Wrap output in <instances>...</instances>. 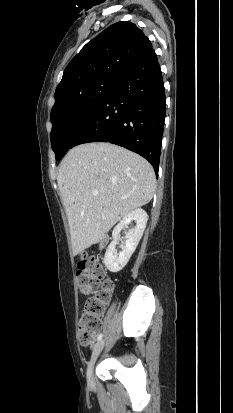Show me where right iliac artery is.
Wrapping results in <instances>:
<instances>
[{
  "mask_svg": "<svg viewBox=\"0 0 233 413\" xmlns=\"http://www.w3.org/2000/svg\"><path fill=\"white\" fill-rule=\"evenodd\" d=\"M102 336H103V335H102V333H101V334H99V336H98L97 340H98V341H100V340L102 339Z\"/></svg>",
  "mask_w": 233,
  "mask_h": 413,
  "instance_id": "obj_1",
  "label": "right iliac artery"
}]
</instances>
